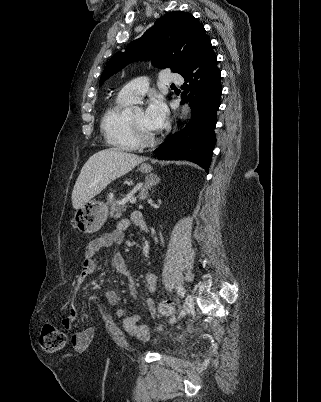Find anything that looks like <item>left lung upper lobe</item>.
<instances>
[{
  "label": "left lung upper lobe",
  "mask_w": 321,
  "mask_h": 402,
  "mask_svg": "<svg viewBox=\"0 0 321 402\" xmlns=\"http://www.w3.org/2000/svg\"><path fill=\"white\" fill-rule=\"evenodd\" d=\"M208 40L203 25L192 14L170 12L140 39L130 43L124 52L111 57L101 75L100 86L126 64L138 59L150 58L157 68H171L172 72L181 74Z\"/></svg>",
  "instance_id": "left-lung-upper-lobe-1"
}]
</instances>
